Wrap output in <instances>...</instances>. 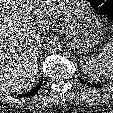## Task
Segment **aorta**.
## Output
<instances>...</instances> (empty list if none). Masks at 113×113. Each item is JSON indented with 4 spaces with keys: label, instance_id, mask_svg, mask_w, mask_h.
I'll return each instance as SVG.
<instances>
[{
    "label": "aorta",
    "instance_id": "obj_1",
    "mask_svg": "<svg viewBox=\"0 0 113 113\" xmlns=\"http://www.w3.org/2000/svg\"><path fill=\"white\" fill-rule=\"evenodd\" d=\"M44 49L49 53L57 52L61 47L60 38L57 36L46 37L43 44Z\"/></svg>",
    "mask_w": 113,
    "mask_h": 113
}]
</instances>
